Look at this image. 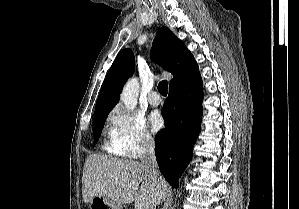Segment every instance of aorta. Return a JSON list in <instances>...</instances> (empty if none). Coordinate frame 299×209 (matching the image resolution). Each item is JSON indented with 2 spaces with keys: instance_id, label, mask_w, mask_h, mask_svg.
<instances>
[{
  "instance_id": "aorta-1",
  "label": "aorta",
  "mask_w": 299,
  "mask_h": 209,
  "mask_svg": "<svg viewBox=\"0 0 299 209\" xmlns=\"http://www.w3.org/2000/svg\"><path fill=\"white\" fill-rule=\"evenodd\" d=\"M139 82L137 78H131L124 86L120 99L127 110H133L137 105Z\"/></svg>"
}]
</instances>
